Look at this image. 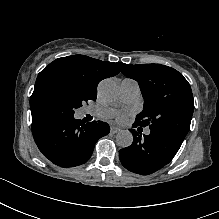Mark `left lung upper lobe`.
Here are the masks:
<instances>
[{"instance_id":"5c2ea615","label":"left lung upper lobe","mask_w":219,"mask_h":219,"mask_svg":"<svg viewBox=\"0 0 219 219\" xmlns=\"http://www.w3.org/2000/svg\"><path fill=\"white\" fill-rule=\"evenodd\" d=\"M122 73L139 83L144 98L135 123L183 141L194 111L191 87L183 75L161 64H128Z\"/></svg>"}]
</instances>
